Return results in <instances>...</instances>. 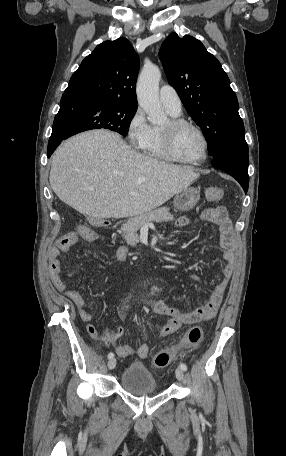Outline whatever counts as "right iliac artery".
<instances>
[{"instance_id":"82829eb1","label":"right iliac artery","mask_w":286,"mask_h":456,"mask_svg":"<svg viewBox=\"0 0 286 456\" xmlns=\"http://www.w3.org/2000/svg\"><path fill=\"white\" fill-rule=\"evenodd\" d=\"M113 357H114V353H113V352H110V353L108 354V358H109V359H112Z\"/></svg>"}]
</instances>
